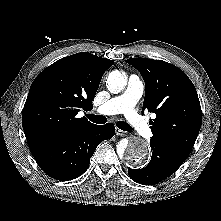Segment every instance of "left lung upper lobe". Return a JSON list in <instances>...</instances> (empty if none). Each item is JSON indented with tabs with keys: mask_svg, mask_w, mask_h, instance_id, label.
Instances as JSON below:
<instances>
[{
	"mask_svg": "<svg viewBox=\"0 0 221 221\" xmlns=\"http://www.w3.org/2000/svg\"><path fill=\"white\" fill-rule=\"evenodd\" d=\"M126 62L134 66L145 81L143 109L156 114L150 121L151 140L189 154L202 123L199 98L191 80L178 67L162 60L131 58Z\"/></svg>",
	"mask_w": 221,
	"mask_h": 221,
	"instance_id": "left-lung-upper-lobe-1",
	"label": "left lung upper lobe"
}]
</instances>
